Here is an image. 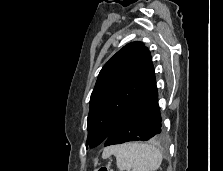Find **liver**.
I'll return each instance as SVG.
<instances>
[{
    "mask_svg": "<svg viewBox=\"0 0 223 171\" xmlns=\"http://www.w3.org/2000/svg\"><path fill=\"white\" fill-rule=\"evenodd\" d=\"M111 148L112 147L107 148V149L104 150V152H103V158H107L111 154V152H110Z\"/></svg>",
    "mask_w": 223,
    "mask_h": 171,
    "instance_id": "6515ba94",
    "label": "liver"
}]
</instances>
